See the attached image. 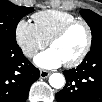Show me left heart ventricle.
I'll return each instance as SVG.
<instances>
[{
  "label": "left heart ventricle",
  "instance_id": "1",
  "mask_svg": "<svg viewBox=\"0 0 102 102\" xmlns=\"http://www.w3.org/2000/svg\"><path fill=\"white\" fill-rule=\"evenodd\" d=\"M87 41V32L84 26L77 25L72 28L62 39L53 43L51 49L67 63L76 59L83 51Z\"/></svg>",
  "mask_w": 102,
  "mask_h": 102
}]
</instances>
